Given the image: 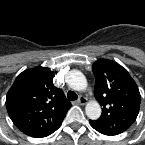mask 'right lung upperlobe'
Here are the masks:
<instances>
[{
    "mask_svg": "<svg viewBox=\"0 0 145 145\" xmlns=\"http://www.w3.org/2000/svg\"><path fill=\"white\" fill-rule=\"evenodd\" d=\"M53 72L36 67L22 72L6 97L8 114L15 126L31 137H41L57 129L71 103L53 85Z\"/></svg>",
    "mask_w": 145,
    "mask_h": 145,
    "instance_id": "cb5924a9",
    "label": "right lung upper lobe"
}]
</instances>
